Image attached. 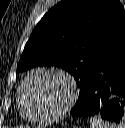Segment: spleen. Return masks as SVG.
Masks as SVG:
<instances>
[{"label":"spleen","mask_w":125,"mask_h":128,"mask_svg":"<svg viewBox=\"0 0 125 128\" xmlns=\"http://www.w3.org/2000/svg\"><path fill=\"white\" fill-rule=\"evenodd\" d=\"M90 128H113V126L99 117H91Z\"/></svg>","instance_id":"1"}]
</instances>
